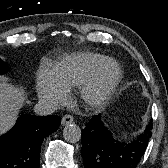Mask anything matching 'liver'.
<instances>
[{"label": "liver", "mask_w": 168, "mask_h": 168, "mask_svg": "<svg viewBox=\"0 0 168 168\" xmlns=\"http://www.w3.org/2000/svg\"><path fill=\"white\" fill-rule=\"evenodd\" d=\"M24 102L22 89L4 81L0 82V135L14 125L17 112Z\"/></svg>", "instance_id": "obj_1"}]
</instances>
